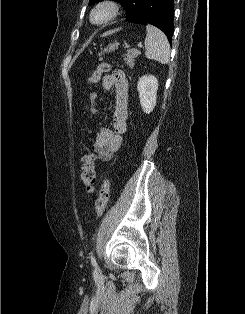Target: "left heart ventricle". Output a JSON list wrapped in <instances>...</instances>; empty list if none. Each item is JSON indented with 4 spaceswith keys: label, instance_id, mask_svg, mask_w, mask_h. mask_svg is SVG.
Returning a JSON list of instances; mask_svg holds the SVG:
<instances>
[{
    "label": "left heart ventricle",
    "instance_id": "b2bd125f",
    "mask_svg": "<svg viewBox=\"0 0 245 314\" xmlns=\"http://www.w3.org/2000/svg\"><path fill=\"white\" fill-rule=\"evenodd\" d=\"M107 11L106 10H99L95 13L94 15V20L97 22H100L102 20H104L107 17Z\"/></svg>",
    "mask_w": 245,
    "mask_h": 314
}]
</instances>
